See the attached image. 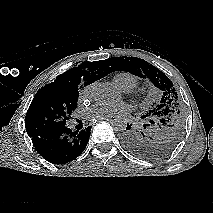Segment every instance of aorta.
<instances>
[{
  "instance_id": "762f6f07",
  "label": "aorta",
  "mask_w": 213,
  "mask_h": 213,
  "mask_svg": "<svg viewBox=\"0 0 213 213\" xmlns=\"http://www.w3.org/2000/svg\"><path fill=\"white\" fill-rule=\"evenodd\" d=\"M92 95L96 101L104 104L115 103L120 98V92L113 86L106 83L98 84L93 89ZM112 125L117 131H124L127 123L123 119H115Z\"/></svg>"
}]
</instances>
